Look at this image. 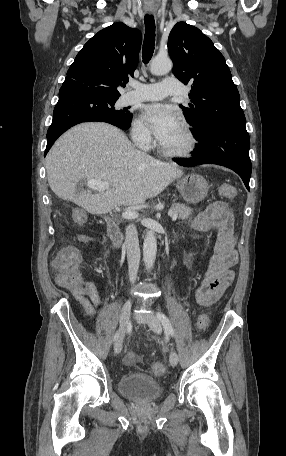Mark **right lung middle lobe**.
I'll return each mask as SVG.
<instances>
[{
  "mask_svg": "<svg viewBox=\"0 0 286 456\" xmlns=\"http://www.w3.org/2000/svg\"><path fill=\"white\" fill-rule=\"evenodd\" d=\"M98 109L99 117L110 123L119 126H129L132 120V114L127 109L116 110L114 105L116 100H105Z\"/></svg>",
  "mask_w": 286,
  "mask_h": 456,
  "instance_id": "dd1d6c3e",
  "label": "right lung middle lobe"
}]
</instances>
